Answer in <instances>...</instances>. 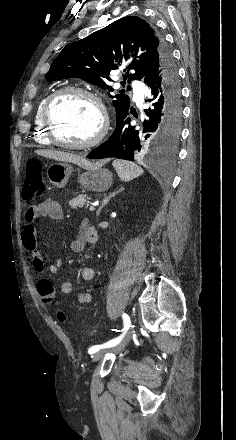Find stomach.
I'll use <instances>...</instances> for the list:
<instances>
[{
	"instance_id": "1",
	"label": "stomach",
	"mask_w": 236,
	"mask_h": 440,
	"mask_svg": "<svg viewBox=\"0 0 236 440\" xmlns=\"http://www.w3.org/2000/svg\"><path fill=\"white\" fill-rule=\"evenodd\" d=\"M86 170L78 175V182L87 190L102 192L107 190L113 182L112 173L101 166L85 168ZM74 168L67 162L52 163L47 169V177L51 184L58 188H63Z\"/></svg>"
}]
</instances>
